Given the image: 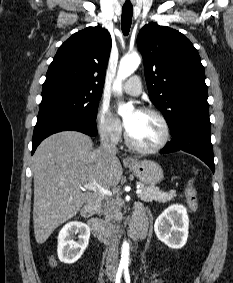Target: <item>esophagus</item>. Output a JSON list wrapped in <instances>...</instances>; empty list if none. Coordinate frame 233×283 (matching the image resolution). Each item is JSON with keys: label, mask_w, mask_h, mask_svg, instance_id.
Here are the masks:
<instances>
[{"label": "esophagus", "mask_w": 233, "mask_h": 283, "mask_svg": "<svg viewBox=\"0 0 233 283\" xmlns=\"http://www.w3.org/2000/svg\"><path fill=\"white\" fill-rule=\"evenodd\" d=\"M126 161H127L128 163H133V162H134V159H133L132 157H127V158H126Z\"/></svg>", "instance_id": "1"}]
</instances>
